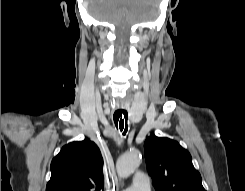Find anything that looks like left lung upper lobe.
I'll use <instances>...</instances> for the list:
<instances>
[{
    "label": "left lung upper lobe",
    "mask_w": 245,
    "mask_h": 191,
    "mask_svg": "<svg viewBox=\"0 0 245 191\" xmlns=\"http://www.w3.org/2000/svg\"><path fill=\"white\" fill-rule=\"evenodd\" d=\"M144 151L156 191H205L190 153L177 141L150 136Z\"/></svg>",
    "instance_id": "5c2ea615"
}]
</instances>
